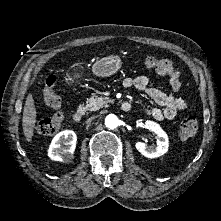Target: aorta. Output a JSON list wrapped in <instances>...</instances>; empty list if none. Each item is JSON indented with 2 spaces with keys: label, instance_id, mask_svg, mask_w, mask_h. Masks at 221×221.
<instances>
[{
  "label": "aorta",
  "instance_id": "1",
  "mask_svg": "<svg viewBox=\"0 0 221 221\" xmlns=\"http://www.w3.org/2000/svg\"><path fill=\"white\" fill-rule=\"evenodd\" d=\"M105 125L110 129H114L119 125V119L114 114H109L105 118Z\"/></svg>",
  "mask_w": 221,
  "mask_h": 221
}]
</instances>
